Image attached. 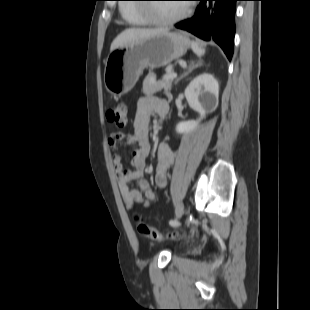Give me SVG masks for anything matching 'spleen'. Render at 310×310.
<instances>
[{
    "mask_svg": "<svg viewBox=\"0 0 310 310\" xmlns=\"http://www.w3.org/2000/svg\"><path fill=\"white\" fill-rule=\"evenodd\" d=\"M193 45V48H194V50H195V52H196V54L199 56V57H201V56H203L204 54H205V49L204 48H201L197 43H192Z\"/></svg>",
    "mask_w": 310,
    "mask_h": 310,
    "instance_id": "spleen-1",
    "label": "spleen"
}]
</instances>
